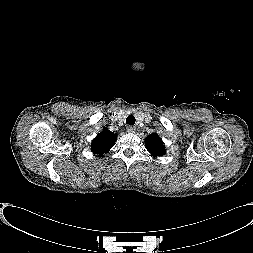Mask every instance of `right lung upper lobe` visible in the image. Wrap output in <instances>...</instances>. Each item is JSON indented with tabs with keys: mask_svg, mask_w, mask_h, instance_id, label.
I'll list each match as a JSON object with an SVG mask.
<instances>
[{
	"mask_svg": "<svg viewBox=\"0 0 253 253\" xmlns=\"http://www.w3.org/2000/svg\"><path fill=\"white\" fill-rule=\"evenodd\" d=\"M115 140L116 135L107 128H104L93 140L91 150L95 154L103 156L104 153L109 152L110 148L114 145Z\"/></svg>",
	"mask_w": 253,
	"mask_h": 253,
	"instance_id": "cb5924a9",
	"label": "right lung upper lobe"
}]
</instances>
